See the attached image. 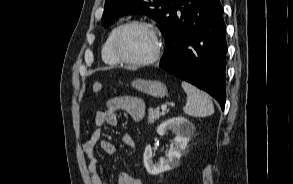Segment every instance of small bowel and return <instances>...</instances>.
<instances>
[{"instance_id":"small-bowel-1","label":"small bowel","mask_w":293,"mask_h":184,"mask_svg":"<svg viewBox=\"0 0 293 184\" xmlns=\"http://www.w3.org/2000/svg\"><path fill=\"white\" fill-rule=\"evenodd\" d=\"M120 111L127 113L134 122H140L145 116V104L138 97L121 96L109 99L106 103V108L96 112L94 117L96 128L83 144V152L88 160V170L92 184H106L98 173V161L94 155V149L99 144L103 152L109 155L114 154V145L110 141L103 139L102 127L105 125L116 126L118 112ZM122 141L128 147L135 146L134 138L130 134H125ZM117 184H143V182L139 177L122 172L119 175Z\"/></svg>"}]
</instances>
